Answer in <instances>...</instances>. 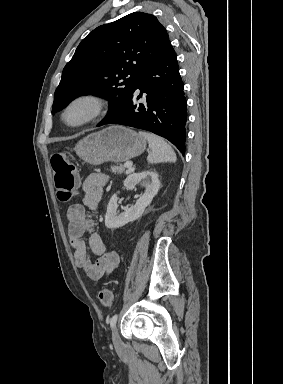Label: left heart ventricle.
<instances>
[{
    "label": "left heart ventricle",
    "instance_id": "b2bd125f",
    "mask_svg": "<svg viewBox=\"0 0 283 384\" xmlns=\"http://www.w3.org/2000/svg\"><path fill=\"white\" fill-rule=\"evenodd\" d=\"M88 112L89 109L86 104H78L67 113V121L69 123H77L83 120L87 116Z\"/></svg>",
    "mask_w": 283,
    "mask_h": 384
}]
</instances>
